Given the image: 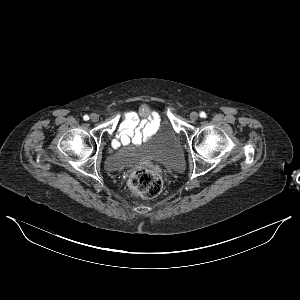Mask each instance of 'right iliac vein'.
Returning a JSON list of instances; mask_svg holds the SVG:
<instances>
[{
	"label": "right iliac vein",
	"instance_id": "right-iliac-vein-1",
	"mask_svg": "<svg viewBox=\"0 0 300 300\" xmlns=\"http://www.w3.org/2000/svg\"><path fill=\"white\" fill-rule=\"evenodd\" d=\"M90 120H91L92 122H97V121L99 120L98 114L92 113V114L90 115Z\"/></svg>",
	"mask_w": 300,
	"mask_h": 300
}]
</instances>
